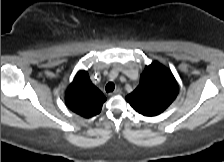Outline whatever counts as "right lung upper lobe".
Wrapping results in <instances>:
<instances>
[{"instance_id":"obj_1","label":"right lung upper lobe","mask_w":224,"mask_h":162,"mask_svg":"<svg viewBox=\"0 0 224 162\" xmlns=\"http://www.w3.org/2000/svg\"><path fill=\"white\" fill-rule=\"evenodd\" d=\"M67 106L75 113L90 118L101 111L106 97L91 82L87 71H79L65 95Z\"/></svg>"}]
</instances>
